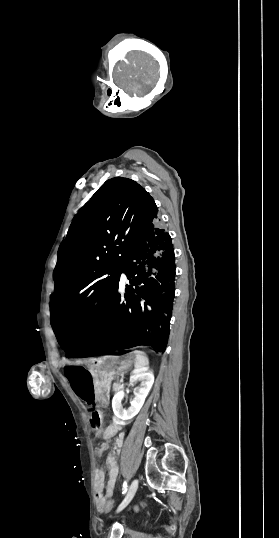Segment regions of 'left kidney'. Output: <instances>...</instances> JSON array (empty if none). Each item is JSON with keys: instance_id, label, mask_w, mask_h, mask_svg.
<instances>
[{"instance_id": "5707ae66", "label": "left kidney", "mask_w": 279, "mask_h": 538, "mask_svg": "<svg viewBox=\"0 0 279 538\" xmlns=\"http://www.w3.org/2000/svg\"><path fill=\"white\" fill-rule=\"evenodd\" d=\"M134 382H141V388H135L133 392L135 398L130 402V408H127V410L122 408L121 402L124 398V390H119L112 400L113 412L121 420H132L134 416H137L154 384V376L146 368H139V370H134L132 376H130V384H134Z\"/></svg>"}]
</instances>
